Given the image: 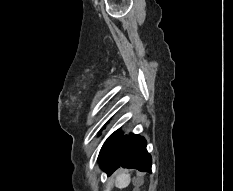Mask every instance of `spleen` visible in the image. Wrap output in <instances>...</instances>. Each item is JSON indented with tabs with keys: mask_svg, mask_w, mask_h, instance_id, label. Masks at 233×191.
Here are the masks:
<instances>
[{
	"mask_svg": "<svg viewBox=\"0 0 233 191\" xmlns=\"http://www.w3.org/2000/svg\"><path fill=\"white\" fill-rule=\"evenodd\" d=\"M130 183V175L126 173H121L117 176L115 185L118 188H125Z\"/></svg>",
	"mask_w": 233,
	"mask_h": 191,
	"instance_id": "3e777b00",
	"label": "spleen"
}]
</instances>
